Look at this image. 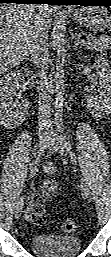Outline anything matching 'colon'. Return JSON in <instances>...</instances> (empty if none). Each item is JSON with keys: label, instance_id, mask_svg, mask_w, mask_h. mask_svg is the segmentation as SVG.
I'll list each match as a JSON object with an SVG mask.
<instances>
[{"label": "colon", "instance_id": "1", "mask_svg": "<svg viewBox=\"0 0 111 257\" xmlns=\"http://www.w3.org/2000/svg\"><path fill=\"white\" fill-rule=\"evenodd\" d=\"M61 228L66 233L74 232L76 229V223L73 220H65L61 223Z\"/></svg>", "mask_w": 111, "mask_h": 257}]
</instances>
